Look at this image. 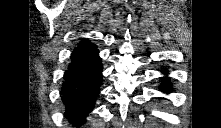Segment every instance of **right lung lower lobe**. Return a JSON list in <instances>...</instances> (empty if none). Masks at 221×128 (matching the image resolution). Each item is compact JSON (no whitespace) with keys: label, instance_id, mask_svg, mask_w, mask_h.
Masks as SVG:
<instances>
[{"label":"right lung lower lobe","instance_id":"obj_1","mask_svg":"<svg viewBox=\"0 0 221 128\" xmlns=\"http://www.w3.org/2000/svg\"><path fill=\"white\" fill-rule=\"evenodd\" d=\"M101 71L98 49L94 44L83 40L71 55L61 90L65 117L75 126L83 124L94 108L102 81Z\"/></svg>","mask_w":221,"mask_h":128}]
</instances>
